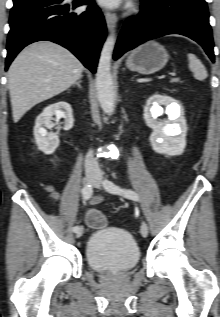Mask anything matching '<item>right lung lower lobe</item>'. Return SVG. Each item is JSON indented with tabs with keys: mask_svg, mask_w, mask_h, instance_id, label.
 <instances>
[{
	"mask_svg": "<svg viewBox=\"0 0 220 317\" xmlns=\"http://www.w3.org/2000/svg\"><path fill=\"white\" fill-rule=\"evenodd\" d=\"M84 4H89L86 11L72 12ZM9 23L6 70L26 45L49 40L69 49L85 67L96 71L106 25L93 0H23L14 3Z\"/></svg>",
	"mask_w": 220,
	"mask_h": 317,
	"instance_id": "right-lung-lower-lobe-1",
	"label": "right lung lower lobe"
}]
</instances>
